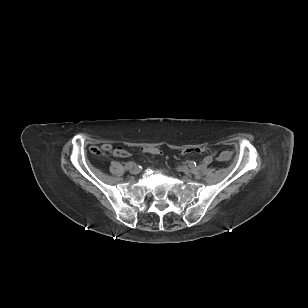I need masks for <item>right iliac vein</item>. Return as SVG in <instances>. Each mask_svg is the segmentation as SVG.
<instances>
[{
	"label": "right iliac vein",
	"instance_id": "right-iliac-vein-1",
	"mask_svg": "<svg viewBox=\"0 0 308 308\" xmlns=\"http://www.w3.org/2000/svg\"><path fill=\"white\" fill-rule=\"evenodd\" d=\"M132 174L136 175L139 173V169L137 167H134L133 169H131L130 171Z\"/></svg>",
	"mask_w": 308,
	"mask_h": 308
}]
</instances>
